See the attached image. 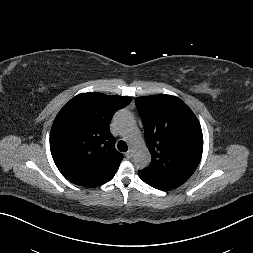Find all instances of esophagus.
Masks as SVG:
<instances>
[{
  "label": "esophagus",
  "instance_id": "esophagus-1",
  "mask_svg": "<svg viewBox=\"0 0 253 253\" xmlns=\"http://www.w3.org/2000/svg\"><path fill=\"white\" fill-rule=\"evenodd\" d=\"M132 150H129V151H127L126 153H125V156H126V158L127 159H131L132 158Z\"/></svg>",
  "mask_w": 253,
  "mask_h": 253
}]
</instances>
